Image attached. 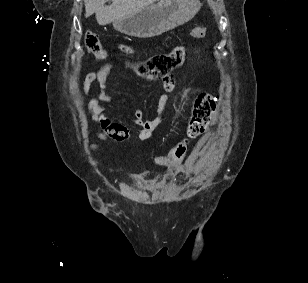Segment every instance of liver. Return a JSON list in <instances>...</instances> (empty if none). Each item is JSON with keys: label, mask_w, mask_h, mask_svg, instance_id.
Segmentation results:
<instances>
[{"label": "liver", "mask_w": 308, "mask_h": 283, "mask_svg": "<svg viewBox=\"0 0 308 283\" xmlns=\"http://www.w3.org/2000/svg\"><path fill=\"white\" fill-rule=\"evenodd\" d=\"M107 1L109 0H84L85 17L88 18L95 13L97 22L106 25L134 14L157 0H111L112 4L106 6Z\"/></svg>", "instance_id": "obj_1"}]
</instances>
